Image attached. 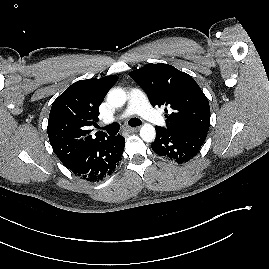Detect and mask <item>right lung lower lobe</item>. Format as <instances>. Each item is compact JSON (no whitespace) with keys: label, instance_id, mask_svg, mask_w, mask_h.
<instances>
[{"label":"right lung lower lobe","instance_id":"1","mask_svg":"<svg viewBox=\"0 0 269 269\" xmlns=\"http://www.w3.org/2000/svg\"><path fill=\"white\" fill-rule=\"evenodd\" d=\"M124 146L125 138L120 134L108 136L84 150L65 167L85 180L98 182L114 171Z\"/></svg>","mask_w":269,"mask_h":269}]
</instances>
